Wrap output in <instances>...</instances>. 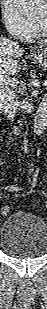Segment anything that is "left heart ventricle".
I'll list each match as a JSON object with an SVG mask.
<instances>
[{"instance_id":"obj_1","label":"left heart ventricle","mask_w":47,"mask_h":309,"mask_svg":"<svg viewBox=\"0 0 47 309\" xmlns=\"http://www.w3.org/2000/svg\"><path fill=\"white\" fill-rule=\"evenodd\" d=\"M46 13L45 12H41L40 14H38L37 16L33 17V22L40 27L41 30H45L47 23H46Z\"/></svg>"}]
</instances>
